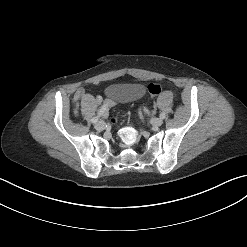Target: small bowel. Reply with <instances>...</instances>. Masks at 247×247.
Masks as SVG:
<instances>
[{
	"label": "small bowel",
	"instance_id": "obj_1",
	"mask_svg": "<svg viewBox=\"0 0 247 247\" xmlns=\"http://www.w3.org/2000/svg\"><path fill=\"white\" fill-rule=\"evenodd\" d=\"M84 95L85 91L83 89L78 90L74 96V101L78 102Z\"/></svg>",
	"mask_w": 247,
	"mask_h": 247
}]
</instances>
